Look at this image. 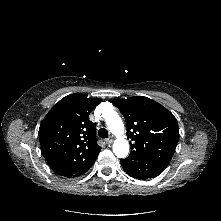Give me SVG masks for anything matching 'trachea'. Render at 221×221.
Masks as SVG:
<instances>
[{"instance_id": "obj_1", "label": "trachea", "mask_w": 221, "mask_h": 221, "mask_svg": "<svg viewBox=\"0 0 221 221\" xmlns=\"http://www.w3.org/2000/svg\"><path fill=\"white\" fill-rule=\"evenodd\" d=\"M98 135L103 139L108 138V131L105 128H101L98 131Z\"/></svg>"}]
</instances>
